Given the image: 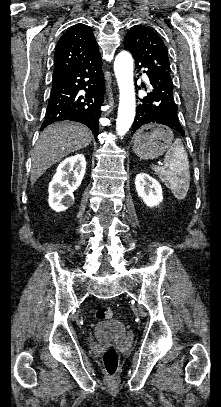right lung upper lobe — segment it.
<instances>
[{
    "instance_id": "cb5924a9",
    "label": "right lung upper lobe",
    "mask_w": 221,
    "mask_h": 407,
    "mask_svg": "<svg viewBox=\"0 0 221 407\" xmlns=\"http://www.w3.org/2000/svg\"><path fill=\"white\" fill-rule=\"evenodd\" d=\"M98 50L89 26L79 23L70 27L57 43L53 77L89 60Z\"/></svg>"
}]
</instances>
